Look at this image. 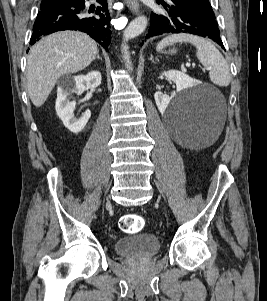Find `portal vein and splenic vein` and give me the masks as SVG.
<instances>
[{"instance_id":"1","label":"portal vein and splenic vein","mask_w":267,"mask_h":301,"mask_svg":"<svg viewBox=\"0 0 267 301\" xmlns=\"http://www.w3.org/2000/svg\"><path fill=\"white\" fill-rule=\"evenodd\" d=\"M187 66H190V64L189 63H187ZM207 70H209V68H206Z\"/></svg>"}]
</instances>
